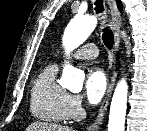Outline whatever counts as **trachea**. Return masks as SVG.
<instances>
[{
	"mask_svg": "<svg viewBox=\"0 0 147 131\" xmlns=\"http://www.w3.org/2000/svg\"><path fill=\"white\" fill-rule=\"evenodd\" d=\"M95 5H96L95 7L96 13H102L104 11L103 0H96ZM102 38L105 46L108 49H111L114 44V36L112 31L108 29V27L103 29Z\"/></svg>",
	"mask_w": 147,
	"mask_h": 131,
	"instance_id": "1",
	"label": "trachea"
}]
</instances>
